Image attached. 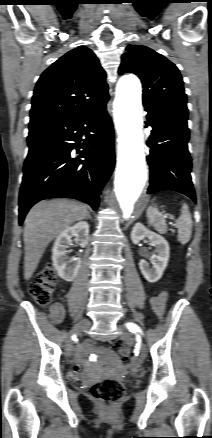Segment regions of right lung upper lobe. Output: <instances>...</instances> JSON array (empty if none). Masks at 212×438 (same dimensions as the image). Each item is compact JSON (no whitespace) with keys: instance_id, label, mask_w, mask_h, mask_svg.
Instances as JSON below:
<instances>
[{"instance_id":"1","label":"right lung upper lobe","mask_w":212,"mask_h":438,"mask_svg":"<svg viewBox=\"0 0 212 438\" xmlns=\"http://www.w3.org/2000/svg\"><path fill=\"white\" fill-rule=\"evenodd\" d=\"M106 74L87 47L75 48L40 76L32 98L30 124L95 111L109 99Z\"/></svg>"}]
</instances>
